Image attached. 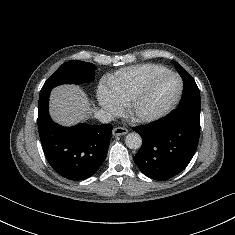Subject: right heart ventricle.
<instances>
[{"label":"right heart ventricle","mask_w":235,"mask_h":235,"mask_svg":"<svg viewBox=\"0 0 235 235\" xmlns=\"http://www.w3.org/2000/svg\"><path fill=\"white\" fill-rule=\"evenodd\" d=\"M164 71L167 68L157 64L122 68L106 79L107 90L119 105L127 106L149 77Z\"/></svg>","instance_id":"1"}]
</instances>
